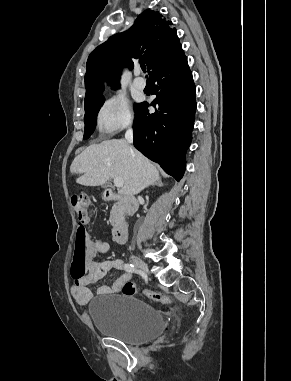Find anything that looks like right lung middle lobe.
I'll list each match as a JSON object with an SVG mask.
<instances>
[{
	"instance_id": "dd1d6c3e",
	"label": "right lung middle lobe",
	"mask_w": 291,
	"mask_h": 381,
	"mask_svg": "<svg viewBox=\"0 0 291 381\" xmlns=\"http://www.w3.org/2000/svg\"><path fill=\"white\" fill-rule=\"evenodd\" d=\"M104 96H100L99 98L93 100L84 105L85 108V131L83 139H88L90 135L93 133L96 125V117L100 107L104 103ZM138 104L135 105V108Z\"/></svg>"
}]
</instances>
